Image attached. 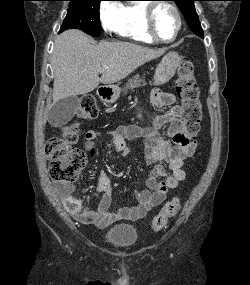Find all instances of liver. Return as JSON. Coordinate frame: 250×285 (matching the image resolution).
<instances>
[{
	"mask_svg": "<svg viewBox=\"0 0 250 285\" xmlns=\"http://www.w3.org/2000/svg\"><path fill=\"white\" fill-rule=\"evenodd\" d=\"M164 52V49L155 50L129 42L96 44L80 30H67L57 36L52 54L53 104L67 97L87 94L100 82L120 81ZM106 67L99 78L100 70Z\"/></svg>",
	"mask_w": 250,
	"mask_h": 285,
	"instance_id": "obj_1",
	"label": "liver"
}]
</instances>
